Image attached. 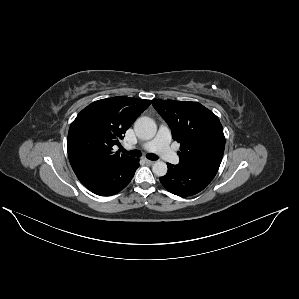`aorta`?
Instances as JSON below:
<instances>
[{"mask_svg":"<svg viewBox=\"0 0 299 299\" xmlns=\"http://www.w3.org/2000/svg\"><path fill=\"white\" fill-rule=\"evenodd\" d=\"M134 129L138 137L149 140L156 135L157 125L153 119L144 116L136 120ZM167 170V164L163 161H156L152 166L153 173L159 177L165 176Z\"/></svg>","mask_w":299,"mask_h":299,"instance_id":"1","label":"aorta"}]
</instances>
